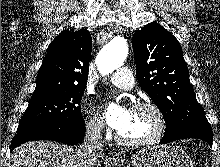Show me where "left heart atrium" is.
<instances>
[{"mask_svg": "<svg viewBox=\"0 0 220 167\" xmlns=\"http://www.w3.org/2000/svg\"><path fill=\"white\" fill-rule=\"evenodd\" d=\"M131 111L132 110L124 106L111 103L107 106L105 112L107 123L120 132L127 125L131 116Z\"/></svg>", "mask_w": 220, "mask_h": 167, "instance_id": "left-heart-atrium-1", "label": "left heart atrium"}]
</instances>
